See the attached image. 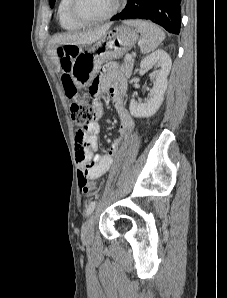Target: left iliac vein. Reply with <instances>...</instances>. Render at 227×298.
<instances>
[{"mask_svg":"<svg viewBox=\"0 0 227 298\" xmlns=\"http://www.w3.org/2000/svg\"><path fill=\"white\" fill-rule=\"evenodd\" d=\"M94 215H91L83 224L81 239L84 243H91L94 238Z\"/></svg>","mask_w":227,"mask_h":298,"instance_id":"left-iliac-vein-1","label":"left iliac vein"}]
</instances>
